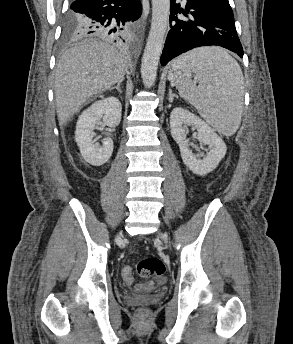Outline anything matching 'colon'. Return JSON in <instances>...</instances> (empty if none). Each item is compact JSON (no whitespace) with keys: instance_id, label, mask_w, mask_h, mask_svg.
I'll return each instance as SVG.
<instances>
[{"instance_id":"5ec220e1","label":"colon","mask_w":293,"mask_h":344,"mask_svg":"<svg viewBox=\"0 0 293 344\" xmlns=\"http://www.w3.org/2000/svg\"><path fill=\"white\" fill-rule=\"evenodd\" d=\"M136 270L140 277L150 279L162 277L165 273L166 267L160 258L148 257L138 262ZM122 275L124 280H133L132 268L129 266L124 267L122 270ZM149 287H151V285L147 286V288ZM137 313L139 317L143 318L146 316L147 312L146 309L139 308Z\"/></svg>"}]
</instances>
